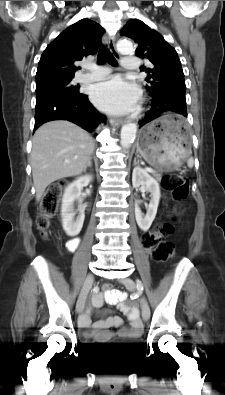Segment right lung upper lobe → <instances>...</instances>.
Listing matches in <instances>:
<instances>
[{
  "instance_id": "obj_1",
  "label": "right lung upper lobe",
  "mask_w": 225,
  "mask_h": 395,
  "mask_svg": "<svg viewBox=\"0 0 225 395\" xmlns=\"http://www.w3.org/2000/svg\"><path fill=\"white\" fill-rule=\"evenodd\" d=\"M103 33L104 29L90 19L69 26L44 50L37 68L36 86L72 79L79 68L75 63L97 52L96 39Z\"/></svg>"
}]
</instances>
